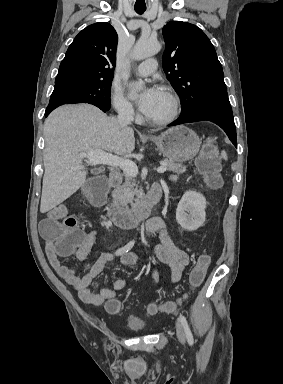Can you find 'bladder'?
<instances>
[{"label":"bladder","instance_id":"1","mask_svg":"<svg viewBox=\"0 0 283 384\" xmlns=\"http://www.w3.org/2000/svg\"><path fill=\"white\" fill-rule=\"evenodd\" d=\"M125 327L133 330V332L145 331L149 328L148 324L137 314L132 313L124 323Z\"/></svg>","mask_w":283,"mask_h":384}]
</instances>
